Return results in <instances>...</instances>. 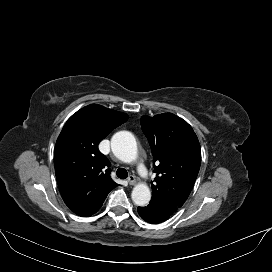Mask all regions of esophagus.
<instances>
[{
	"mask_svg": "<svg viewBox=\"0 0 272 272\" xmlns=\"http://www.w3.org/2000/svg\"><path fill=\"white\" fill-rule=\"evenodd\" d=\"M127 181H128V183H129L130 185H134V184L136 183V178H135V176L130 175V176L128 177Z\"/></svg>",
	"mask_w": 272,
	"mask_h": 272,
	"instance_id": "obj_1",
	"label": "esophagus"
}]
</instances>
